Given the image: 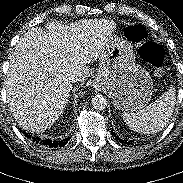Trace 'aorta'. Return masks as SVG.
Masks as SVG:
<instances>
[{
	"instance_id": "obj_1",
	"label": "aorta",
	"mask_w": 183,
	"mask_h": 183,
	"mask_svg": "<svg viewBox=\"0 0 183 183\" xmlns=\"http://www.w3.org/2000/svg\"><path fill=\"white\" fill-rule=\"evenodd\" d=\"M92 106L96 110H104L107 106V99L103 95H95L92 98Z\"/></svg>"
}]
</instances>
